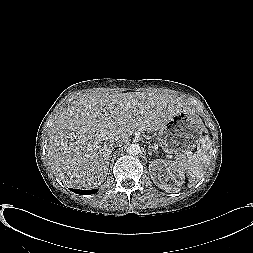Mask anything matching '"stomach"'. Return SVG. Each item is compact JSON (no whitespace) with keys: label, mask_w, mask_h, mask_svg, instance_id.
Wrapping results in <instances>:
<instances>
[{"label":"stomach","mask_w":253,"mask_h":253,"mask_svg":"<svg viewBox=\"0 0 253 253\" xmlns=\"http://www.w3.org/2000/svg\"><path fill=\"white\" fill-rule=\"evenodd\" d=\"M203 131V122L196 114L181 112L159 130L157 140L164 152L187 157L199 146Z\"/></svg>","instance_id":"0dacf381"}]
</instances>
